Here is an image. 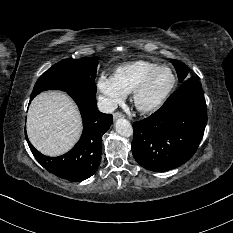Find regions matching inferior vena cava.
<instances>
[{
  "label": "inferior vena cava",
  "mask_w": 233,
  "mask_h": 233,
  "mask_svg": "<svg viewBox=\"0 0 233 233\" xmlns=\"http://www.w3.org/2000/svg\"><path fill=\"white\" fill-rule=\"evenodd\" d=\"M97 106L102 113H112L118 107L117 103L113 100L103 96L98 98Z\"/></svg>",
  "instance_id": "1"
}]
</instances>
